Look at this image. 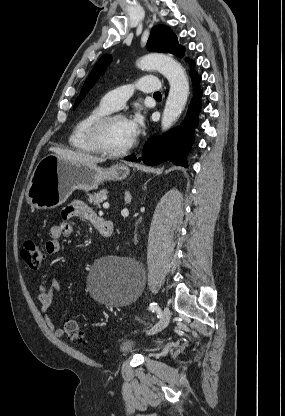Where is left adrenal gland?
Masks as SVG:
<instances>
[{
	"mask_svg": "<svg viewBox=\"0 0 285 416\" xmlns=\"http://www.w3.org/2000/svg\"><path fill=\"white\" fill-rule=\"evenodd\" d=\"M124 200H125V204H129V202H131V200H132V196H130V194H129V192H127V190H125Z\"/></svg>",
	"mask_w": 285,
	"mask_h": 416,
	"instance_id": "obj_1",
	"label": "left adrenal gland"
}]
</instances>
